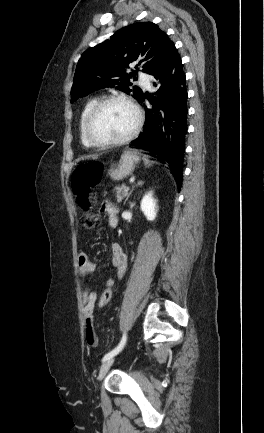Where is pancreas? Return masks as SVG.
<instances>
[{
    "label": "pancreas",
    "instance_id": "pancreas-1",
    "mask_svg": "<svg viewBox=\"0 0 264 433\" xmlns=\"http://www.w3.org/2000/svg\"><path fill=\"white\" fill-rule=\"evenodd\" d=\"M127 195V193L124 191V187H118L116 190V197H117V201L121 202L122 199Z\"/></svg>",
    "mask_w": 264,
    "mask_h": 433
}]
</instances>
